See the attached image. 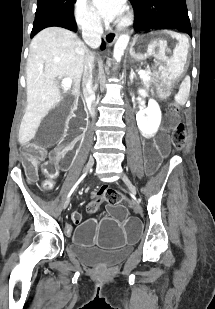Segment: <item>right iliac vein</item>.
Masks as SVG:
<instances>
[{"mask_svg":"<svg viewBox=\"0 0 215 309\" xmlns=\"http://www.w3.org/2000/svg\"><path fill=\"white\" fill-rule=\"evenodd\" d=\"M93 165H94V159H93V157H90L89 160H88V163L86 165V171H89L92 168ZM67 206H68V202H65L63 204V209H65Z\"/></svg>","mask_w":215,"mask_h":309,"instance_id":"1","label":"right iliac vein"}]
</instances>
